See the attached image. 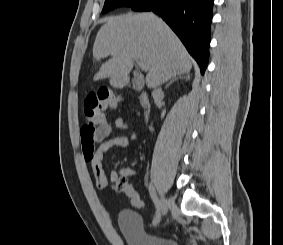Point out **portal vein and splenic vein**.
I'll use <instances>...</instances> for the list:
<instances>
[{
    "mask_svg": "<svg viewBox=\"0 0 283 245\" xmlns=\"http://www.w3.org/2000/svg\"><path fill=\"white\" fill-rule=\"evenodd\" d=\"M138 65L143 71H146L148 69L147 64L143 61H138Z\"/></svg>",
    "mask_w": 283,
    "mask_h": 245,
    "instance_id": "obj_1",
    "label": "portal vein and splenic vein"
}]
</instances>
